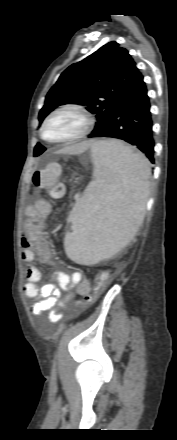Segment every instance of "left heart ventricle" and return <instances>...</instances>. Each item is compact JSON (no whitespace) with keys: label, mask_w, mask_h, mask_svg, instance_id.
Here are the masks:
<instances>
[{"label":"left heart ventricle","mask_w":177,"mask_h":440,"mask_svg":"<svg viewBox=\"0 0 177 440\" xmlns=\"http://www.w3.org/2000/svg\"><path fill=\"white\" fill-rule=\"evenodd\" d=\"M83 122L73 113H60L55 115L45 128V135L50 140L66 138L77 133Z\"/></svg>","instance_id":"b2bd125f"}]
</instances>
